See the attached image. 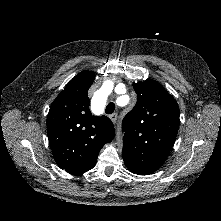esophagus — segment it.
Returning <instances> with one entry per match:
<instances>
[{
	"label": "esophagus",
	"instance_id": "1",
	"mask_svg": "<svg viewBox=\"0 0 221 221\" xmlns=\"http://www.w3.org/2000/svg\"><path fill=\"white\" fill-rule=\"evenodd\" d=\"M109 118L111 119V121H112L113 123H116V122H117L118 115H117V113H113V114H111V115L109 116Z\"/></svg>",
	"mask_w": 221,
	"mask_h": 221
}]
</instances>
